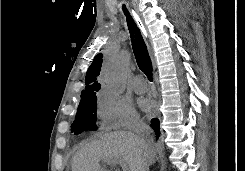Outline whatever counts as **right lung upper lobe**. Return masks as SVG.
<instances>
[{
	"mask_svg": "<svg viewBox=\"0 0 245 171\" xmlns=\"http://www.w3.org/2000/svg\"><path fill=\"white\" fill-rule=\"evenodd\" d=\"M102 55L95 56L91 66L88 68L85 78L86 87L82 91L81 99L96 95V91L100 89V83L97 81V76L101 70Z\"/></svg>",
	"mask_w": 245,
	"mask_h": 171,
	"instance_id": "1",
	"label": "right lung upper lobe"
}]
</instances>
